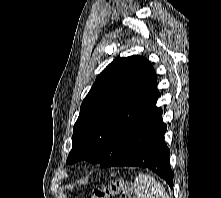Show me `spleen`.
I'll return each instance as SVG.
<instances>
[{
  "label": "spleen",
  "instance_id": "obj_1",
  "mask_svg": "<svg viewBox=\"0 0 221 198\" xmlns=\"http://www.w3.org/2000/svg\"><path fill=\"white\" fill-rule=\"evenodd\" d=\"M137 198H169L163 186L147 174H139L134 180Z\"/></svg>",
  "mask_w": 221,
  "mask_h": 198
}]
</instances>
